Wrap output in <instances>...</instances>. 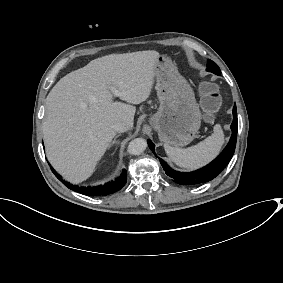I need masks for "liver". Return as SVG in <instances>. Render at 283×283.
Instances as JSON below:
<instances>
[{"mask_svg": "<svg viewBox=\"0 0 283 283\" xmlns=\"http://www.w3.org/2000/svg\"><path fill=\"white\" fill-rule=\"evenodd\" d=\"M156 51L111 54L72 71L46 98L43 137L54 168L72 183L90 178L109 149L116 123L131 129L135 107L149 99L160 58Z\"/></svg>", "mask_w": 283, "mask_h": 283, "instance_id": "liver-1", "label": "liver"}]
</instances>
